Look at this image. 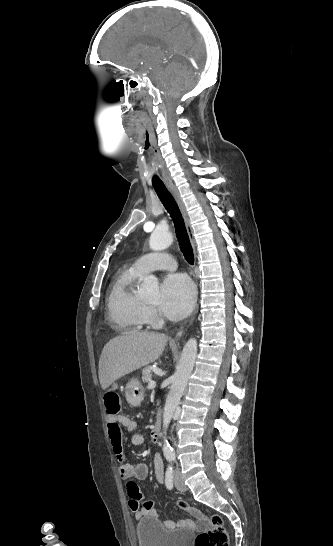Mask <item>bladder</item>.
<instances>
[{"instance_id": "31cf9c89", "label": "bladder", "mask_w": 333, "mask_h": 546, "mask_svg": "<svg viewBox=\"0 0 333 546\" xmlns=\"http://www.w3.org/2000/svg\"><path fill=\"white\" fill-rule=\"evenodd\" d=\"M139 546H191L194 534L188 529L168 530L155 517L143 516L136 524Z\"/></svg>"}]
</instances>
